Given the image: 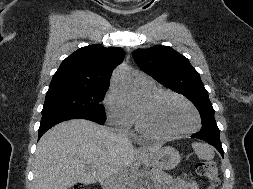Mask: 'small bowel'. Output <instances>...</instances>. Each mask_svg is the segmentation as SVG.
<instances>
[{"mask_svg":"<svg viewBox=\"0 0 253 189\" xmlns=\"http://www.w3.org/2000/svg\"><path fill=\"white\" fill-rule=\"evenodd\" d=\"M169 189H198V184L194 180L179 179L170 184Z\"/></svg>","mask_w":253,"mask_h":189,"instance_id":"small-bowel-1","label":"small bowel"}]
</instances>
